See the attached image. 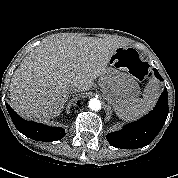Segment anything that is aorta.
Here are the masks:
<instances>
[{
  "label": "aorta",
  "instance_id": "aorta-1",
  "mask_svg": "<svg viewBox=\"0 0 178 178\" xmlns=\"http://www.w3.org/2000/svg\"><path fill=\"white\" fill-rule=\"evenodd\" d=\"M89 108L95 111H98L101 109V103L98 99L93 98L89 101Z\"/></svg>",
  "mask_w": 178,
  "mask_h": 178
}]
</instances>
